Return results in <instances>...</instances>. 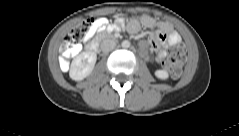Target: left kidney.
Returning <instances> with one entry per match:
<instances>
[{"mask_svg":"<svg viewBox=\"0 0 239 136\" xmlns=\"http://www.w3.org/2000/svg\"><path fill=\"white\" fill-rule=\"evenodd\" d=\"M155 76L161 80H166L169 78V74L165 70H156L155 71Z\"/></svg>","mask_w":239,"mask_h":136,"instance_id":"1","label":"left kidney"}]
</instances>
